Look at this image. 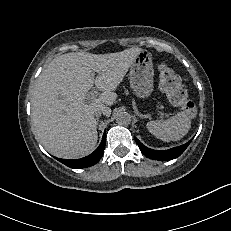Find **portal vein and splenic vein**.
I'll return each mask as SVG.
<instances>
[{
	"mask_svg": "<svg viewBox=\"0 0 231 231\" xmlns=\"http://www.w3.org/2000/svg\"><path fill=\"white\" fill-rule=\"evenodd\" d=\"M98 95V91L96 90H92L91 92H89V94L87 95V99H94L96 96Z\"/></svg>",
	"mask_w": 231,
	"mask_h": 231,
	"instance_id": "1",
	"label": "portal vein and splenic vein"
}]
</instances>
